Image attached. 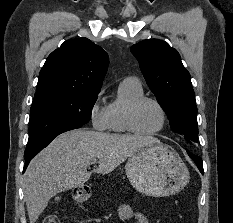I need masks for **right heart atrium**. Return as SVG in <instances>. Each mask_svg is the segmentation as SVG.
<instances>
[{
    "mask_svg": "<svg viewBox=\"0 0 233 223\" xmlns=\"http://www.w3.org/2000/svg\"><path fill=\"white\" fill-rule=\"evenodd\" d=\"M102 94L103 91L98 94L89 110L91 123L97 130L108 129V106H105L101 103Z\"/></svg>",
    "mask_w": 233,
    "mask_h": 223,
    "instance_id": "1",
    "label": "right heart atrium"
}]
</instances>
